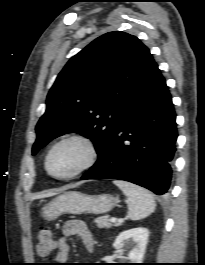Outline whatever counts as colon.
<instances>
[{
  "instance_id": "5ec220e1",
  "label": "colon",
  "mask_w": 205,
  "mask_h": 265,
  "mask_svg": "<svg viewBox=\"0 0 205 265\" xmlns=\"http://www.w3.org/2000/svg\"><path fill=\"white\" fill-rule=\"evenodd\" d=\"M57 247V241L49 228H42L36 237V249L41 257H48Z\"/></svg>"
}]
</instances>
